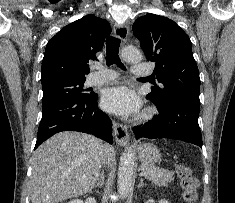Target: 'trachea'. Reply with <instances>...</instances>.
<instances>
[{"mask_svg": "<svg viewBox=\"0 0 235 203\" xmlns=\"http://www.w3.org/2000/svg\"><path fill=\"white\" fill-rule=\"evenodd\" d=\"M119 47H120L119 38L111 36L106 39V54H107L106 62L108 66L116 64L121 69H125L118 55Z\"/></svg>", "mask_w": 235, "mask_h": 203, "instance_id": "1", "label": "trachea"}]
</instances>
